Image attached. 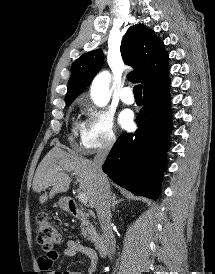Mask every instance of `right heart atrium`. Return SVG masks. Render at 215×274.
Segmentation results:
<instances>
[{"label": "right heart atrium", "instance_id": "d8ad5b80", "mask_svg": "<svg viewBox=\"0 0 215 274\" xmlns=\"http://www.w3.org/2000/svg\"><path fill=\"white\" fill-rule=\"evenodd\" d=\"M85 119L81 124L77 150L88 154L109 150L116 142L112 115L88 103H83Z\"/></svg>", "mask_w": 215, "mask_h": 274}]
</instances>
